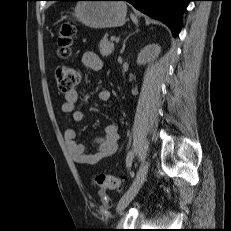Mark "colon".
I'll list each match as a JSON object with an SVG mask.
<instances>
[{"label":"colon","mask_w":231,"mask_h":231,"mask_svg":"<svg viewBox=\"0 0 231 231\" xmlns=\"http://www.w3.org/2000/svg\"><path fill=\"white\" fill-rule=\"evenodd\" d=\"M73 35L74 24L71 21L63 22L59 26L56 42L59 48V54L62 57L69 56ZM55 77L58 89L62 93L70 92L81 81L80 71L67 64H60L56 67ZM94 182L100 188L101 195L105 196L107 190L115 189L120 186L121 179L114 175L100 173L94 176Z\"/></svg>","instance_id":"5ec220e1"}]
</instances>
